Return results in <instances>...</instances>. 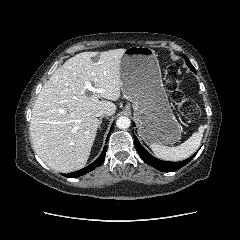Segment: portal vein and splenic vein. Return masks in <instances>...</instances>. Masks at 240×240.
<instances>
[{"instance_id":"obj_1","label":"portal vein and splenic vein","mask_w":240,"mask_h":240,"mask_svg":"<svg viewBox=\"0 0 240 240\" xmlns=\"http://www.w3.org/2000/svg\"><path fill=\"white\" fill-rule=\"evenodd\" d=\"M86 88H87L89 91L93 92V93H99V92H102V91H103L102 89H96V88H94L91 83H87V84H86Z\"/></svg>"}]
</instances>
